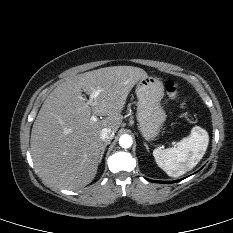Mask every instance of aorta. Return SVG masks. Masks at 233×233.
Returning <instances> with one entry per match:
<instances>
[{
	"instance_id": "aorta-1",
	"label": "aorta",
	"mask_w": 233,
	"mask_h": 233,
	"mask_svg": "<svg viewBox=\"0 0 233 233\" xmlns=\"http://www.w3.org/2000/svg\"><path fill=\"white\" fill-rule=\"evenodd\" d=\"M133 144L132 137L128 134H124L119 138V145L122 148H130Z\"/></svg>"
}]
</instances>
